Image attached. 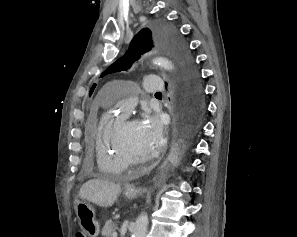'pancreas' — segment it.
Wrapping results in <instances>:
<instances>
[{
	"mask_svg": "<svg viewBox=\"0 0 297 237\" xmlns=\"http://www.w3.org/2000/svg\"><path fill=\"white\" fill-rule=\"evenodd\" d=\"M115 224L112 222V220H108L106 221L101 234L104 237H112L113 233H114V229H115Z\"/></svg>",
	"mask_w": 297,
	"mask_h": 237,
	"instance_id": "cf45deb5",
	"label": "pancreas"
}]
</instances>
